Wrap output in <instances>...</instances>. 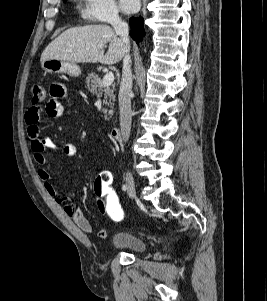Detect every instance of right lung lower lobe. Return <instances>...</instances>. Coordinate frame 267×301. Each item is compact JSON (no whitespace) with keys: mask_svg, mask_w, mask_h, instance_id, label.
<instances>
[{"mask_svg":"<svg viewBox=\"0 0 267 301\" xmlns=\"http://www.w3.org/2000/svg\"><path fill=\"white\" fill-rule=\"evenodd\" d=\"M130 28H131V33L130 36L132 37L133 40H135L137 43L139 40H141L142 36H144L145 32L143 30V23L144 20L143 18H130Z\"/></svg>","mask_w":267,"mask_h":301,"instance_id":"obj_1","label":"right lung lower lobe"}]
</instances>
